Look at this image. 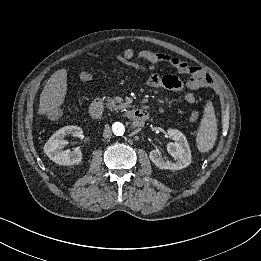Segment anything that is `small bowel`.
<instances>
[{
    "label": "small bowel",
    "instance_id": "obj_1",
    "mask_svg": "<svg viewBox=\"0 0 261 261\" xmlns=\"http://www.w3.org/2000/svg\"><path fill=\"white\" fill-rule=\"evenodd\" d=\"M118 60L126 65L137 66V60H143L147 62L144 67L149 73V85L154 88H163L169 91H184V90H197L190 86V83L183 82L176 75L161 76L156 73V67L160 62H167L170 65L176 67L181 61L177 57L170 56L166 53H156L150 50L135 51L132 48H126L123 53L118 57ZM81 80L88 82L92 79V74L89 71H83L81 73ZM196 101L195 95L192 92H187L183 97V102L186 105H192Z\"/></svg>",
    "mask_w": 261,
    "mask_h": 261
}]
</instances>
